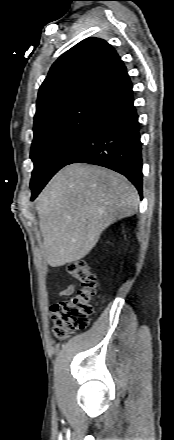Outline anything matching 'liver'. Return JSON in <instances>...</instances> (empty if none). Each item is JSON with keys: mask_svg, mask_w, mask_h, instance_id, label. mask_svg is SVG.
Segmentation results:
<instances>
[{"mask_svg": "<svg viewBox=\"0 0 174 440\" xmlns=\"http://www.w3.org/2000/svg\"><path fill=\"white\" fill-rule=\"evenodd\" d=\"M138 205V192L123 175L95 165L64 167L36 203L47 263L59 267L84 258L108 226Z\"/></svg>", "mask_w": 174, "mask_h": 440, "instance_id": "obj_1", "label": "liver"}]
</instances>
